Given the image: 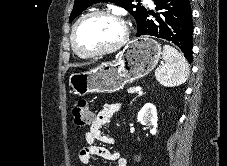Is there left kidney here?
<instances>
[{
    "mask_svg": "<svg viewBox=\"0 0 227 166\" xmlns=\"http://www.w3.org/2000/svg\"><path fill=\"white\" fill-rule=\"evenodd\" d=\"M137 121L142 125L152 127L150 133L155 135L157 132V110L152 103H146L138 112Z\"/></svg>",
    "mask_w": 227,
    "mask_h": 166,
    "instance_id": "obj_1",
    "label": "left kidney"
}]
</instances>
